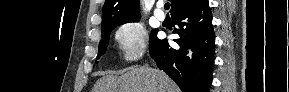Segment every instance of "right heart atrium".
I'll list each match as a JSON object with an SVG mask.
<instances>
[{
  "instance_id": "d8ad5b80",
  "label": "right heart atrium",
  "mask_w": 289,
  "mask_h": 92,
  "mask_svg": "<svg viewBox=\"0 0 289 92\" xmlns=\"http://www.w3.org/2000/svg\"><path fill=\"white\" fill-rule=\"evenodd\" d=\"M115 39L127 64L140 59L147 50V32L138 21L131 20L121 24L115 31Z\"/></svg>"
}]
</instances>
